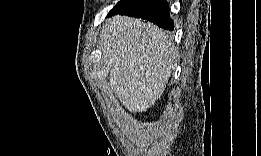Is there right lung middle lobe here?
Wrapping results in <instances>:
<instances>
[{"label": "right lung middle lobe", "instance_id": "1", "mask_svg": "<svg viewBox=\"0 0 261 156\" xmlns=\"http://www.w3.org/2000/svg\"><path fill=\"white\" fill-rule=\"evenodd\" d=\"M133 0H121L120 2L117 3V5L110 11L108 14L109 16H112L116 13H119L123 9H125Z\"/></svg>", "mask_w": 261, "mask_h": 156}]
</instances>
